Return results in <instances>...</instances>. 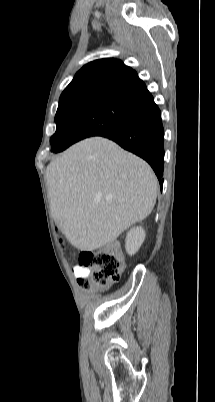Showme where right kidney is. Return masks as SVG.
<instances>
[{"label":"right kidney","mask_w":215,"mask_h":402,"mask_svg":"<svg viewBox=\"0 0 215 402\" xmlns=\"http://www.w3.org/2000/svg\"><path fill=\"white\" fill-rule=\"evenodd\" d=\"M145 239V231L142 227L132 228L126 237V251L129 255L135 254Z\"/></svg>","instance_id":"right-kidney-1"}]
</instances>
